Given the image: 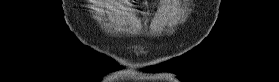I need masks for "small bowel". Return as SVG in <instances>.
Segmentation results:
<instances>
[{
	"label": "small bowel",
	"instance_id": "small-bowel-1",
	"mask_svg": "<svg viewBox=\"0 0 279 82\" xmlns=\"http://www.w3.org/2000/svg\"><path fill=\"white\" fill-rule=\"evenodd\" d=\"M94 5L97 7H109V6H113L112 3H110V1H93ZM127 2V1H126ZM131 3V2H129Z\"/></svg>",
	"mask_w": 279,
	"mask_h": 82
}]
</instances>
